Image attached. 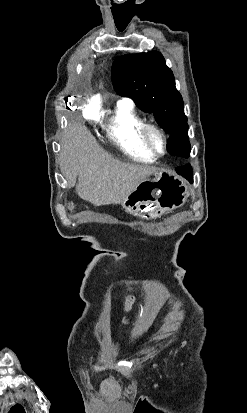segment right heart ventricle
<instances>
[{
	"label": "right heart ventricle",
	"instance_id": "1",
	"mask_svg": "<svg viewBox=\"0 0 247 413\" xmlns=\"http://www.w3.org/2000/svg\"><path fill=\"white\" fill-rule=\"evenodd\" d=\"M142 124L139 117L122 110L119 116L108 125L107 135L131 160L153 163L156 158L148 154L138 142L137 133Z\"/></svg>",
	"mask_w": 247,
	"mask_h": 413
}]
</instances>
